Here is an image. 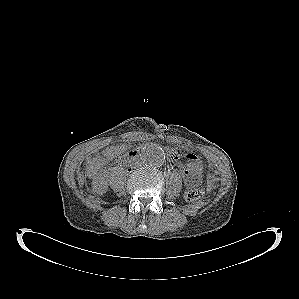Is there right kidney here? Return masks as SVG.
Masks as SVG:
<instances>
[{"label":"right kidney","instance_id":"obj_1","mask_svg":"<svg viewBox=\"0 0 299 299\" xmlns=\"http://www.w3.org/2000/svg\"><path fill=\"white\" fill-rule=\"evenodd\" d=\"M108 184L103 174L98 175L93 179V190L98 194H103L107 191Z\"/></svg>","mask_w":299,"mask_h":299}]
</instances>
